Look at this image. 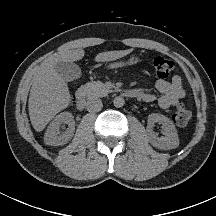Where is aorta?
Returning <instances> with one entry per match:
<instances>
[{"mask_svg": "<svg viewBox=\"0 0 216 216\" xmlns=\"http://www.w3.org/2000/svg\"><path fill=\"white\" fill-rule=\"evenodd\" d=\"M113 104H114L115 107L120 108V107L124 106L125 101H124L123 97L118 96V97L114 98Z\"/></svg>", "mask_w": 216, "mask_h": 216, "instance_id": "762f6f07", "label": "aorta"}]
</instances>
